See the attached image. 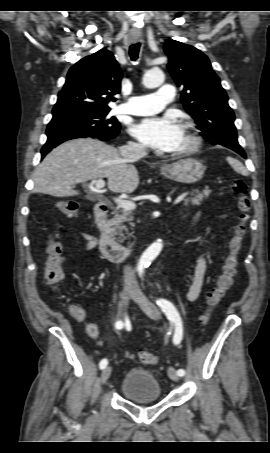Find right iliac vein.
I'll use <instances>...</instances> for the list:
<instances>
[{
    "label": "right iliac vein",
    "mask_w": 270,
    "mask_h": 453,
    "mask_svg": "<svg viewBox=\"0 0 270 453\" xmlns=\"http://www.w3.org/2000/svg\"><path fill=\"white\" fill-rule=\"evenodd\" d=\"M130 293H131V287L126 286L124 291H123V293H122V302H121L122 315L125 314L127 303H128V298H129ZM111 372H112V367L111 366H108V367L104 368V370L101 373V383L102 384H104L108 380V378L111 375Z\"/></svg>",
    "instance_id": "obj_1"
}]
</instances>
